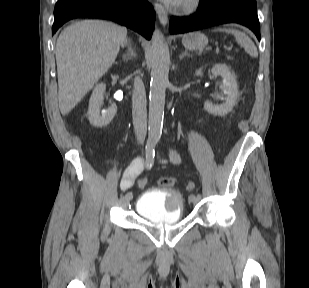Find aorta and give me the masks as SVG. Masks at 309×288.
Instances as JSON below:
<instances>
[{"instance_id": "obj_1", "label": "aorta", "mask_w": 309, "mask_h": 288, "mask_svg": "<svg viewBox=\"0 0 309 288\" xmlns=\"http://www.w3.org/2000/svg\"><path fill=\"white\" fill-rule=\"evenodd\" d=\"M170 66L169 48L159 29L152 35L151 82L149 96V137L158 140L162 134L165 91Z\"/></svg>"}]
</instances>
